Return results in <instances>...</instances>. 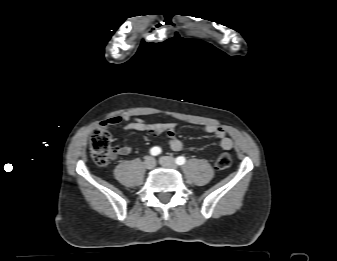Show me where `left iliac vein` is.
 <instances>
[{
  "label": "left iliac vein",
  "mask_w": 337,
  "mask_h": 261,
  "mask_svg": "<svg viewBox=\"0 0 337 261\" xmlns=\"http://www.w3.org/2000/svg\"><path fill=\"white\" fill-rule=\"evenodd\" d=\"M159 163L164 167H169V168H173V169L177 168V164H176L175 159L173 157H170V156L160 157Z\"/></svg>",
  "instance_id": "left-iliac-vein-1"
}]
</instances>
